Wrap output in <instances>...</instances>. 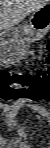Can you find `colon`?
<instances>
[{
    "label": "colon",
    "mask_w": 50,
    "mask_h": 148,
    "mask_svg": "<svg viewBox=\"0 0 50 148\" xmlns=\"http://www.w3.org/2000/svg\"><path fill=\"white\" fill-rule=\"evenodd\" d=\"M48 48V44H47ZM49 60V57L46 58ZM0 94L5 100L48 101L50 99V73H19L0 71Z\"/></svg>",
    "instance_id": "obj_1"
}]
</instances>
